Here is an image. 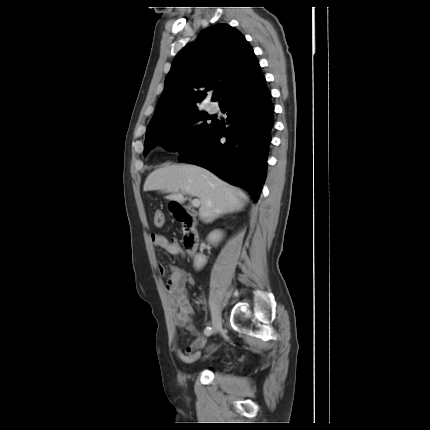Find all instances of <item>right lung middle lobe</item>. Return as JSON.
I'll return each mask as SVG.
<instances>
[{"label": "right lung middle lobe", "mask_w": 430, "mask_h": 430, "mask_svg": "<svg viewBox=\"0 0 430 430\" xmlns=\"http://www.w3.org/2000/svg\"><path fill=\"white\" fill-rule=\"evenodd\" d=\"M206 119H210L208 114L195 108L153 125L146 133L144 155L156 142L173 151L193 152L205 142L218 122H201Z\"/></svg>", "instance_id": "dd1d6c3e"}]
</instances>
